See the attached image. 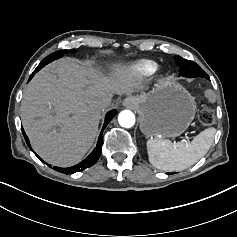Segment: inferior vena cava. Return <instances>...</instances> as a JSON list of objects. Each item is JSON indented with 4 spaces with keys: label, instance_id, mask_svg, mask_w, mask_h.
<instances>
[{
    "label": "inferior vena cava",
    "instance_id": "inferior-vena-cava-1",
    "mask_svg": "<svg viewBox=\"0 0 237 237\" xmlns=\"http://www.w3.org/2000/svg\"><path fill=\"white\" fill-rule=\"evenodd\" d=\"M111 102H112V97H105V98H102L99 103H100V106L102 108H106L108 106L111 105Z\"/></svg>",
    "mask_w": 237,
    "mask_h": 237
}]
</instances>
